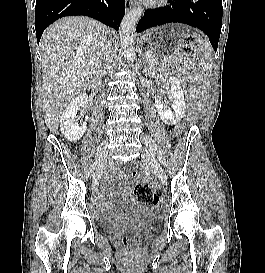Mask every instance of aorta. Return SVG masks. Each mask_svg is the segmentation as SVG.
I'll return each instance as SVG.
<instances>
[{
  "label": "aorta",
  "instance_id": "762f6f07",
  "mask_svg": "<svg viewBox=\"0 0 265 273\" xmlns=\"http://www.w3.org/2000/svg\"><path fill=\"white\" fill-rule=\"evenodd\" d=\"M143 14L141 7H136L130 10L122 19L119 36L121 40V49L124 57L129 63H133L135 58V35H136V24Z\"/></svg>",
  "mask_w": 265,
  "mask_h": 273
}]
</instances>
